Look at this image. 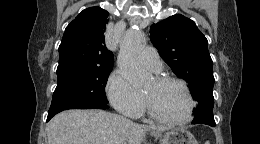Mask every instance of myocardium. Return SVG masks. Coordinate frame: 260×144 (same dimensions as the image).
<instances>
[{"label": "myocardium", "mask_w": 260, "mask_h": 144, "mask_svg": "<svg viewBox=\"0 0 260 144\" xmlns=\"http://www.w3.org/2000/svg\"><path fill=\"white\" fill-rule=\"evenodd\" d=\"M153 81L156 85H163V84H169V83L179 85L184 90V92L188 98L189 110H188L187 116L184 119L173 120V119L166 118V117L162 116L161 114H159L154 109L149 98L145 94H143L145 106H146L149 116L158 122L169 124V125L180 126V125H185V124L189 123L193 118L196 103H195L194 97H193L191 90L188 87L187 83L179 78L169 77V76H157L153 79Z\"/></svg>", "instance_id": "f54148a6"}]
</instances>
